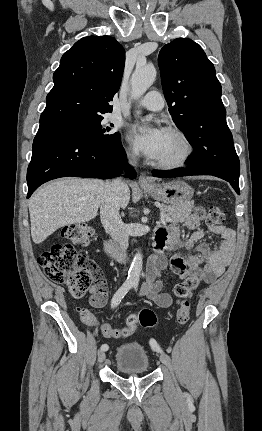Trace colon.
I'll return each instance as SVG.
<instances>
[{
    "label": "colon",
    "mask_w": 262,
    "mask_h": 431,
    "mask_svg": "<svg viewBox=\"0 0 262 431\" xmlns=\"http://www.w3.org/2000/svg\"><path fill=\"white\" fill-rule=\"evenodd\" d=\"M206 221L209 225L219 226L225 221L220 208L212 206L208 209ZM93 229L86 225H72L62 230L63 241L54 244L38 257V264L46 277L54 283L65 285L68 292L76 299L82 298L92 283L93 277L99 275L93 260L76 252V246L87 245L93 237ZM199 278L189 276L180 281L174 288L176 297L181 300L177 311V321L184 325L190 318V295L199 284ZM85 323L95 325L96 321L81 310ZM157 323L156 314L148 308L128 317L123 327L115 329L111 326L101 328L108 338H124L131 336L138 326L152 328Z\"/></svg>",
    "instance_id": "5ec220e1"
}]
</instances>
